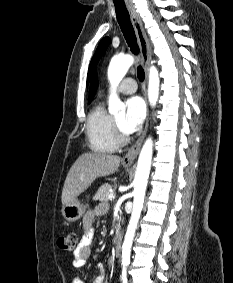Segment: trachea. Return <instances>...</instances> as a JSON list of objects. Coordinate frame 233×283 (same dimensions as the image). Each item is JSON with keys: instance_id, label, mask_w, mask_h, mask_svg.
Instances as JSON below:
<instances>
[{"instance_id": "3493384b", "label": "trachea", "mask_w": 233, "mask_h": 283, "mask_svg": "<svg viewBox=\"0 0 233 283\" xmlns=\"http://www.w3.org/2000/svg\"><path fill=\"white\" fill-rule=\"evenodd\" d=\"M115 11L118 23L120 25V28L122 30V33L126 39V42L128 46L130 47L131 52L134 55L139 54V47L137 44L136 35L132 26V23L130 21L129 12L126 7H119L115 5ZM137 76L138 79L142 82L145 78L144 70L141 66H138L137 68Z\"/></svg>"}]
</instances>
